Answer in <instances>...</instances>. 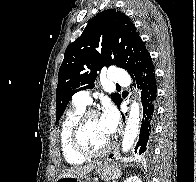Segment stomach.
<instances>
[{
    "label": "stomach",
    "instance_id": "obj_1",
    "mask_svg": "<svg viewBox=\"0 0 196 182\" xmlns=\"http://www.w3.org/2000/svg\"><path fill=\"white\" fill-rule=\"evenodd\" d=\"M96 174L105 182L120 177L121 172L114 165L108 162H99L96 166ZM56 182H90V179L85 177H59Z\"/></svg>",
    "mask_w": 196,
    "mask_h": 182
}]
</instances>
